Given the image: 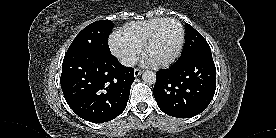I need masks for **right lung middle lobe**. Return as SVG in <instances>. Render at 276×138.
<instances>
[{"mask_svg":"<svg viewBox=\"0 0 276 138\" xmlns=\"http://www.w3.org/2000/svg\"><path fill=\"white\" fill-rule=\"evenodd\" d=\"M113 27L114 24L108 20L91 23L76 36L65 56L86 50L110 52L108 38Z\"/></svg>","mask_w":276,"mask_h":138,"instance_id":"dd1d6c3e","label":"right lung middle lobe"}]
</instances>
